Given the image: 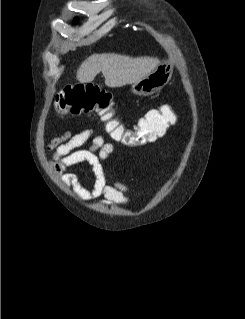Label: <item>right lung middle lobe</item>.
I'll list each match as a JSON object with an SVG mask.
<instances>
[{"instance_id":"1","label":"right lung middle lobe","mask_w":245,"mask_h":319,"mask_svg":"<svg viewBox=\"0 0 245 319\" xmlns=\"http://www.w3.org/2000/svg\"><path fill=\"white\" fill-rule=\"evenodd\" d=\"M78 21H77V19H74V23L76 24Z\"/></svg>"}]
</instances>
